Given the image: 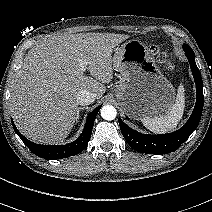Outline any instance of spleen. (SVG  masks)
I'll return each instance as SVG.
<instances>
[{
    "instance_id": "spleen-1",
    "label": "spleen",
    "mask_w": 212,
    "mask_h": 212,
    "mask_svg": "<svg viewBox=\"0 0 212 212\" xmlns=\"http://www.w3.org/2000/svg\"><path fill=\"white\" fill-rule=\"evenodd\" d=\"M185 107L184 87L178 88L175 103L167 115L162 117H144L141 119L143 125L154 133H167L175 129L182 119Z\"/></svg>"
}]
</instances>
